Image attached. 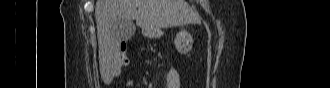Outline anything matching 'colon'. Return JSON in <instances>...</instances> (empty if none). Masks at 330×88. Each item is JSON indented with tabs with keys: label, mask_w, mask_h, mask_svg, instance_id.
Listing matches in <instances>:
<instances>
[{
	"label": "colon",
	"mask_w": 330,
	"mask_h": 88,
	"mask_svg": "<svg viewBox=\"0 0 330 88\" xmlns=\"http://www.w3.org/2000/svg\"><path fill=\"white\" fill-rule=\"evenodd\" d=\"M124 53V51H121L120 53V61L117 64V67H122L124 64V57H121V54Z\"/></svg>",
	"instance_id": "obj_1"
}]
</instances>
